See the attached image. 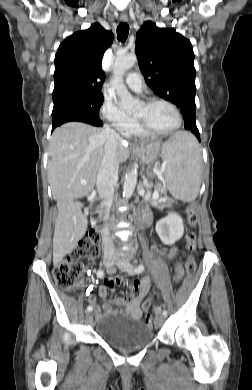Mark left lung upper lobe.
I'll return each instance as SVG.
<instances>
[{"instance_id": "5c2ea615", "label": "left lung upper lobe", "mask_w": 252, "mask_h": 390, "mask_svg": "<svg viewBox=\"0 0 252 390\" xmlns=\"http://www.w3.org/2000/svg\"><path fill=\"white\" fill-rule=\"evenodd\" d=\"M135 52L147 85L171 101L183 117L195 114L194 52L190 41L175 30L145 22L136 36Z\"/></svg>"}]
</instances>
